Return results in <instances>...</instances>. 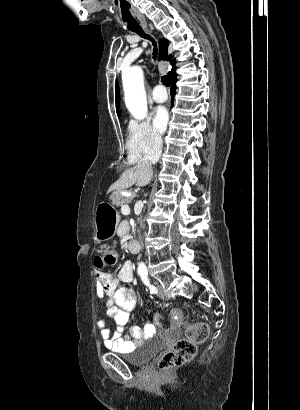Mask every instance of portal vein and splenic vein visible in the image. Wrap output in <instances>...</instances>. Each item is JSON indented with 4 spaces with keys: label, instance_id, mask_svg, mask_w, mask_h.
Listing matches in <instances>:
<instances>
[{
    "label": "portal vein and splenic vein",
    "instance_id": "18ae733b",
    "mask_svg": "<svg viewBox=\"0 0 300 410\" xmlns=\"http://www.w3.org/2000/svg\"><path fill=\"white\" fill-rule=\"evenodd\" d=\"M121 211H122V212H125V213H127V214H129V213H130V208H129L128 205H123V206L121 207Z\"/></svg>",
    "mask_w": 300,
    "mask_h": 410
}]
</instances>
